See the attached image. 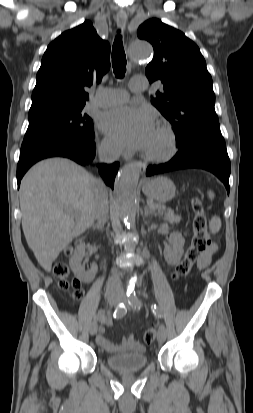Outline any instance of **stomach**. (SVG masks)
I'll return each instance as SVG.
<instances>
[{"label":"stomach","mask_w":253,"mask_h":413,"mask_svg":"<svg viewBox=\"0 0 253 413\" xmlns=\"http://www.w3.org/2000/svg\"><path fill=\"white\" fill-rule=\"evenodd\" d=\"M142 190L149 199L164 203L175 196L176 187L167 177L159 176L145 180Z\"/></svg>","instance_id":"0dacf381"}]
</instances>
